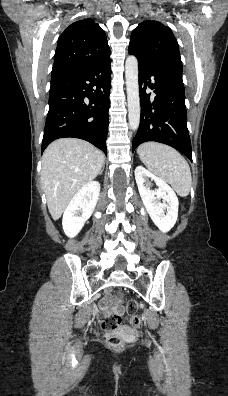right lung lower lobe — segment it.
<instances>
[{
    "mask_svg": "<svg viewBox=\"0 0 228 396\" xmlns=\"http://www.w3.org/2000/svg\"><path fill=\"white\" fill-rule=\"evenodd\" d=\"M110 63L107 57L91 67L51 77L42 151L55 139L74 137L92 143L106 154Z\"/></svg>",
    "mask_w": 228,
    "mask_h": 396,
    "instance_id": "98d812e1",
    "label": "right lung lower lobe"
}]
</instances>
